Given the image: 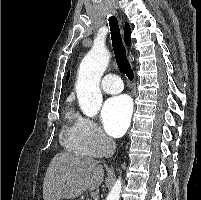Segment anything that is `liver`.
I'll list each match as a JSON object with an SVG mask.
<instances>
[{"label": "liver", "mask_w": 201, "mask_h": 200, "mask_svg": "<svg viewBox=\"0 0 201 200\" xmlns=\"http://www.w3.org/2000/svg\"><path fill=\"white\" fill-rule=\"evenodd\" d=\"M104 169L98 161L68 152L56 154L46 171L43 199H75L84 191L97 189L103 182Z\"/></svg>", "instance_id": "obj_1"}]
</instances>
